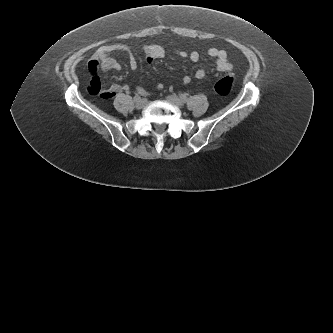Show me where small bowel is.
<instances>
[{
    "label": "small bowel",
    "mask_w": 333,
    "mask_h": 333,
    "mask_svg": "<svg viewBox=\"0 0 333 333\" xmlns=\"http://www.w3.org/2000/svg\"><path fill=\"white\" fill-rule=\"evenodd\" d=\"M116 51H125L129 53V66L132 70H136L139 66L138 59L131 52L129 47L122 44H112L101 46L95 50L88 62V70L92 75V79L88 86V92L93 95H101L103 98H111L118 93L124 91L128 92L130 87L127 84H113L108 89L101 93V81L99 78L100 71L119 70L120 64L111 56ZM176 53L181 58H189L192 62L199 60V53L193 51L188 53L184 50H176ZM145 59L147 63H152L154 60L161 59L165 55V51L161 46L150 45L144 49ZM208 56L215 60V69L219 72H227L232 69V64L228 60L227 53L224 50L218 48H210L207 52ZM206 76V71L202 68L197 69L194 73V78L200 80ZM191 82V77L186 75L182 79L184 85H188ZM163 86L158 84L156 89L161 90ZM137 91L144 95L145 90L141 87L137 88Z\"/></svg>",
    "instance_id": "small-bowel-1"
}]
</instances>
